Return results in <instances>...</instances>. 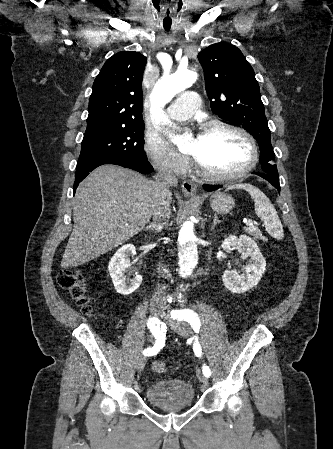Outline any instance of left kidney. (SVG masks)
<instances>
[{
    "instance_id": "1",
    "label": "left kidney",
    "mask_w": 333,
    "mask_h": 449,
    "mask_svg": "<svg viewBox=\"0 0 333 449\" xmlns=\"http://www.w3.org/2000/svg\"><path fill=\"white\" fill-rule=\"evenodd\" d=\"M223 250L231 252L236 248L242 257H250L251 263L245 268L246 275H239L234 270H226L222 276L225 287L233 293L246 292L261 279L266 261L256 242L246 235L229 236L222 243Z\"/></svg>"
}]
</instances>
